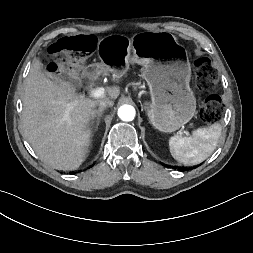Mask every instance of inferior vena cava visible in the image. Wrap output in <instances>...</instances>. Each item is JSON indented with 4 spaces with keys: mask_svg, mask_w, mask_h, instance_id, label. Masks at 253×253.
<instances>
[{
    "mask_svg": "<svg viewBox=\"0 0 253 253\" xmlns=\"http://www.w3.org/2000/svg\"><path fill=\"white\" fill-rule=\"evenodd\" d=\"M114 105V102L110 100L109 98L101 99L98 103L99 108H106V107H112Z\"/></svg>",
    "mask_w": 253,
    "mask_h": 253,
    "instance_id": "1",
    "label": "inferior vena cava"
}]
</instances>
